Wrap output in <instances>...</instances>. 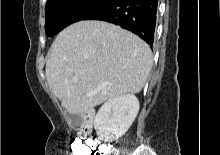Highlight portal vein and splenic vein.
Segmentation results:
<instances>
[{
  "label": "portal vein and splenic vein",
  "mask_w": 220,
  "mask_h": 155,
  "mask_svg": "<svg viewBox=\"0 0 220 155\" xmlns=\"http://www.w3.org/2000/svg\"><path fill=\"white\" fill-rule=\"evenodd\" d=\"M73 81H74V82H77L78 79H77V78H74ZM88 96H91V94H88Z\"/></svg>",
  "instance_id": "portal-vein-and-splenic-vein-1"
}]
</instances>
